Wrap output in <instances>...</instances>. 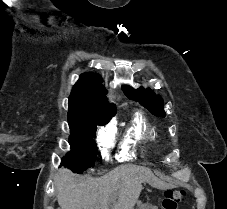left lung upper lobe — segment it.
Segmentation results:
<instances>
[{
	"mask_svg": "<svg viewBox=\"0 0 227 209\" xmlns=\"http://www.w3.org/2000/svg\"><path fill=\"white\" fill-rule=\"evenodd\" d=\"M122 89L129 99L140 102L155 116H165L163 100L160 96H156L152 90L144 89L143 87L139 89H133L129 86H123Z\"/></svg>",
	"mask_w": 227,
	"mask_h": 209,
	"instance_id": "5c2ea615",
	"label": "left lung upper lobe"
}]
</instances>
